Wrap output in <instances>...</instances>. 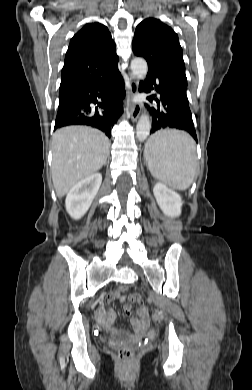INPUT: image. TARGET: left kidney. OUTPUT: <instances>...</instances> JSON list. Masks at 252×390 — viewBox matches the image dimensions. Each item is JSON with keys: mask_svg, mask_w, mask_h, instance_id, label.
<instances>
[{"mask_svg": "<svg viewBox=\"0 0 252 390\" xmlns=\"http://www.w3.org/2000/svg\"><path fill=\"white\" fill-rule=\"evenodd\" d=\"M157 203L165 215L178 217L181 214L182 202L180 196L162 183L153 188Z\"/></svg>", "mask_w": 252, "mask_h": 390, "instance_id": "left-kidney-1", "label": "left kidney"}]
</instances>
